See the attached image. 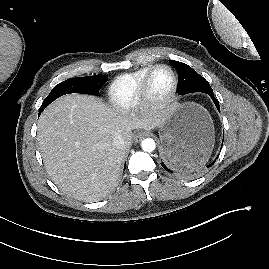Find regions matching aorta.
<instances>
[{"label":"aorta","instance_id":"762f6f07","mask_svg":"<svg viewBox=\"0 0 269 269\" xmlns=\"http://www.w3.org/2000/svg\"><path fill=\"white\" fill-rule=\"evenodd\" d=\"M141 147L145 152H152L156 148V143L152 138H146L142 140Z\"/></svg>","mask_w":269,"mask_h":269}]
</instances>
